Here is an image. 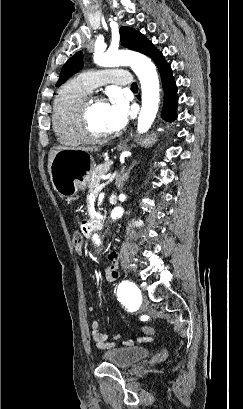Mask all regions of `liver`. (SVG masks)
Instances as JSON below:
<instances>
[{"instance_id": "obj_1", "label": "liver", "mask_w": 243, "mask_h": 409, "mask_svg": "<svg viewBox=\"0 0 243 409\" xmlns=\"http://www.w3.org/2000/svg\"><path fill=\"white\" fill-rule=\"evenodd\" d=\"M65 149H71V148L55 146L49 151V155H48V172H49L50 176H51V163H52V160H53L54 156L56 155V153L58 151L65 150ZM74 150H79V151L85 152L87 154H90V153L99 151L100 147H80V148H75Z\"/></svg>"}]
</instances>
